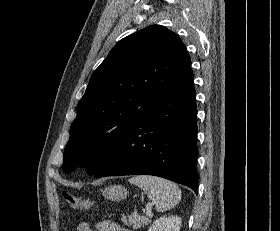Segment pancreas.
Returning a JSON list of instances; mask_svg holds the SVG:
<instances>
[{"label": "pancreas", "instance_id": "cf45deb5", "mask_svg": "<svg viewBox=\"0 0 280 231\" xmlns=\"http://www.w3.org/2000/svg\"><path fill=\"white\" fill-rule=\"evenodd\" d=\"M123 223L125 225H132L133 229H137V227H143V225H148L151 219L150 217H145V215H122L121 217Z\"/></svg>", "mask_w": 280, "mask_h": 231}]
</instances>
